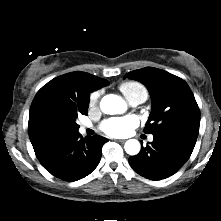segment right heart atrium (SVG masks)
<instances>
[{"label":"right heart atrium","instance_id":"right-heart-atrium-1","mask_svg":"<svg viewBox=\"0 0 221 221\" xmlns=\"http://www.w3.org/2000/svg\"><path fill=\"white\" fill-rule=\"evenodd\" d=\"M99 97H100V92L99 91L93 92L90 95V98H89V106L90 107H95L98 104Z\"/></svg>","mask_w":221,"mask_h":221}]
</instances>
